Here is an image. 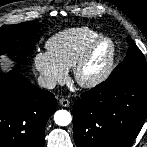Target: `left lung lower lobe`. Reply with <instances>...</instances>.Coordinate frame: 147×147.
<instances>
[{
	"label": "left lung lower lobe",
	"instance_id": "1",
	"mask_svg": "<svg viewBox=\"0 0 147 147\" xmlns=\"http://www.w3.org/2000/svg\"><path fill=\"white\" fill-rule=\"evenodd\" d=\"M147 118V76L108 77L84 92L73 109L78 147H129Z\"/></svg>",
	"mask_w": 147,
	"mask_h": 147
}]
</instances>
